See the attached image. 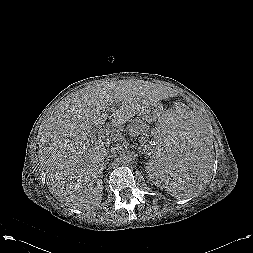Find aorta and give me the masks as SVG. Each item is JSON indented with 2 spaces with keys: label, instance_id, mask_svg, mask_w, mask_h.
I'll list each match as a JSON object with an SVG mask.
<instances>
[{
  "label": "aorta",
  "instance_id": "obj_1",
  "mask_svg": "<svg viewBox=\"0 0 253 253\" xmlns=\"http://www.w3.org/2000/svg\"><path fill=\"white\" fill-rule=\"evenodd\" d=\"M118 158L122 163H129L134 158V153L127 149H122L118 153Z\"/></svg>",
  "mask_w": 253,
  "mask_h": 253
}]
</instances>
